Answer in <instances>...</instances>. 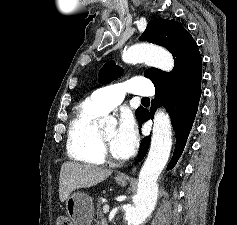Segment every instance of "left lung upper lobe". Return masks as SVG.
I'll return each mask as SVG.
<instances>
[{"label":"left lung upper lobe","instance_id":"1","mask_svg":"<svg viewBox=\"0 0 237 225\" xmlns=\"http://www.w3.org/2000/svg\"><path fill=\"white\" fill-rule=\"evenodd\" d=\"M140 40L166 47L174 57V70L164 72L156 68H149L144 76L148 77L155 88H165L180 85L196 76L202 75V58L196 42L185 28L175 20L156 18L149 21ZM123 73V69L114 62H108L100 70L101 83H110ZM143 107L137 109V119Z\"/></svg>","mask_w":237,"mask_h":225}]
</instances>
